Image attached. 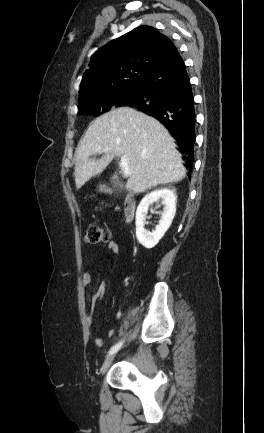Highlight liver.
Returning <instances> with one entry per match:
<instances>
[{"instance_id": "obj_1", "label": "liver", "mask_w": 264, "mask_h": 433, "mask_svg": "<svg viewBox=\"0 0 264 433\" xmlns=\"http://www.w3.org/2000/svg\"><path fill=\"white\" fill-rule=\"evenodd\" d=\"M100 153L101 159H90ZM114 157L128 158L132 173L125 187L137 194L179 182L186 175L168 131L153 117L132 108L112 109L91 123L76 153V188L102 173Z\"/></svg>"}]
</instances>
